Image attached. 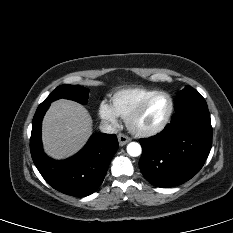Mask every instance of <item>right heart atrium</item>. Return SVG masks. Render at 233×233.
I'll list each match as a JSON object with an SVG mask.
<instances>
[{"instance_id":"obj_1","label":"right heart atrium","mask_w":233,"mask_h":233,"mask_svg":"<svg viewBox=\"0 0 233 233\" xmlns=\"http://www.w3.org/2000/svg\"><path fill=\"white\" fill-rule=\"evenodd\" d=\"M99 115L105 122L111 124L112 126H116L118 124V116L113 111L111 105L106 102H102L100 104Z\"/></svg>"}]
</instances>
